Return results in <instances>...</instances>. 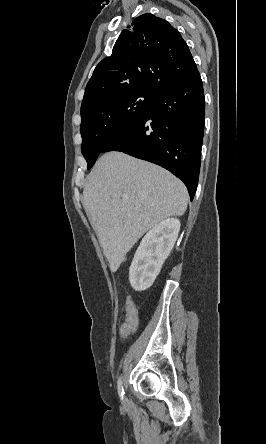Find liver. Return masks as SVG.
Segmentation results:
<instances>
[{"label": "liver", "instance_id": "1", "mask_svg": "<svg viewBox=\"0 0 266 444\" xmlns=\"http://www.w3.org/2000/svg\"><path fill=\"white\" fill-rule=\"evenodd\" d=\"M84 208L111 272L140 237L188 204L184 184L167 170L122 152L102 155L83 190Z\"/></svg>", "mask_w": 266, "mask_h": 444}]
</instances>
